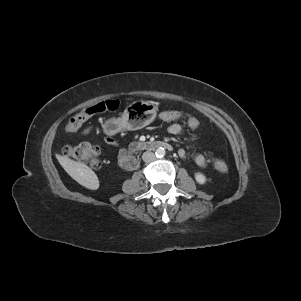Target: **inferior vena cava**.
I'll use <instances>...</instances> for the list:
<instances>
[{
	"mask_svg": "<svg viewBox=\"0 0 301 301\" xmlns=\"http://www.w3.org/2000/svg\"><path fill=\"white\" fill-rule=\"evenodd\" d=\"M142 159H143L144 162L150 163V162H153L155 160V155L151 151H146V152L143 153Z\"/></svg>",
	"mask_w": 301,
	"mask_h": 301,
	"instance_id": "inferior-vena-cava-1",
	"label": "inferior vena cava"
}]
</instances>
